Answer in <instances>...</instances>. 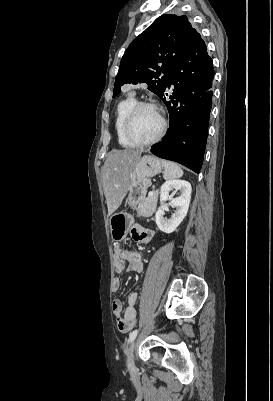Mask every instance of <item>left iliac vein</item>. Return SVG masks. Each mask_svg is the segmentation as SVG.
I'll use <instances>...</instances> for the list:
<instances>
[{
  "label": "left iliac vein",
  "instance_id": "1",
  "mask_svg": "<svg viewBox=\"0 0 273 401\" xmlns=\"http://www.w3.org/2000/svg\"><path fill=\"white\" fill-rule=\"evenodd\" d=\"M136 342H133L130 348L128 349L127 356H128V361H129V367L130 371L132 373H136L137 369L134 363V348H135Z\"/></svg>",
  "mask_w": 273,
  "mask_h": 401
}]
</instances>
